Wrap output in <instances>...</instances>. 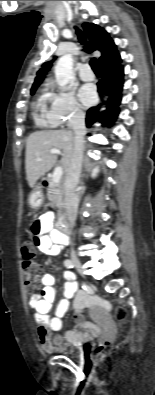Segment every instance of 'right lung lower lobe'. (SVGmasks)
<instances>
[{"mask_svg": "<svg viewBox=\"0 0 155 395\" xmlns=\"http://www.w3.org/2000/svg\"><path fill=\"white\" fill-rule=\"evenodd\" d=\"M121 59L100 65L102 79L98 82V92L101 96L109 95L107 110L99 112L100 105L88 110L86 125L90 127L99 121L103 125L111 124L118 116V105L120 104V92L123 86V67L119 65ZM116 98V99H115Z\"/></svg>", "mask_w": 155, "mask_h": 395, "instance_id": "1", "label": "right lung lower lobe"}]
</instances>
